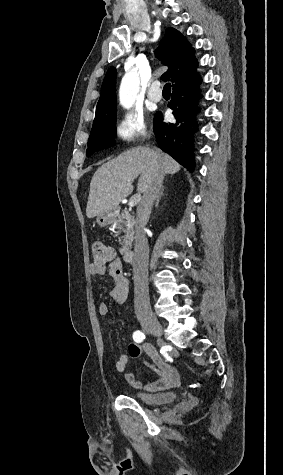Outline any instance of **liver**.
<instances>
[{"label":"liver","instance_id":"6515ba94","mask_svg":"<svg viewBox=\"0 0 283 475\" xmlns=\"http://www.w3.org/2000/svg\"><path fill=\"white\" fill-rule=\"evenodd\" d=\"M162 164L165 174H176L181 166L168 154L150 148H131L114 160L103 164L95 172L91 184L86 208L87 218H95L107 210H117L120 202L133 192L132 182L140 176L137 192H143L149 178L155 170V162Z\"/></svg>","mask_w":283,"mask_h":475}]
</instances>
